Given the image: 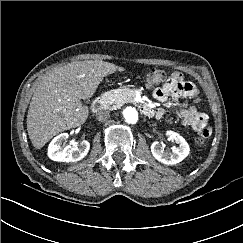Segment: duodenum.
<instances>
[{"label": "duodenum", "mask_w": 243, "mask_h": 243, "mask_svg": "<svg viewBox=\"0 0 243 243\" xmlns=\"http://www.w3.org/2000/svg\"><path fill=\"white\" fill-rule=\"evenodd\" d=\"M107 104H108V101L105 97H102V96L96 97L92 102L91 111L93 113H98L102 109H104L107 106ZM142 112L147 116H153V114H154V110L148 105H144L142 107Z\"/></svg>", "instance_id": "duodenum-1"}]
</instances>
